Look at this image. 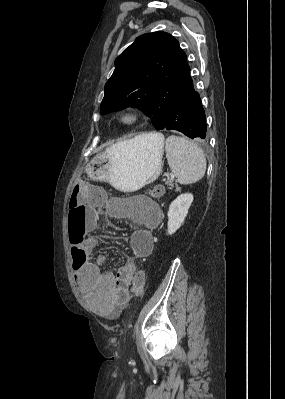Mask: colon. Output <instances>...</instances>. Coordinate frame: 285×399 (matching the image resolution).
I'll list each match as a JSON object with an SVG mask.
<instances>
[{
  "mask_svg": "<svg viewBox=\"0 0 285 399\" xmlns=\"http://www.w3.org/2000/svg\"><path fill=\"white\" fill-rule=\"evenodd\" d=\"M75 192H88V193H95L96 190L93 186L88 182L79 181L74 186ZM150 196L154 198H159L164 194V188L161 185H155L148 190ZM86 218V213L84 210L77 205H72L70 207V216L69 219L71 222L76 223ZM69 241L71 245L76 243V237L72 234H69ZM84 262V257H76L73 261V268L78 269L82 266ZM144 274L141 270H138L134 280H133V291L137 294H141L144 288Z\"/></svg>",
  "mask_w": 285,
  "mask_h": 399,
  "instance_id": "obj_1",
  "label": "colon"
}]
</instances>
